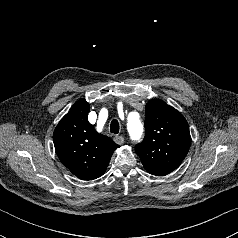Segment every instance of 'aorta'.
<instances>
[{"label":"aorta","instance_id":"1","mask_svg":"<svg viewBox=\"0 0 238 238\" xmlns=\"http://www.w3.org/2000/svg\"><path fill=\"white\" fill-rule=\"evenodd\" d=\"M127 128L133 141H139L143 134V123L135 112H131L127 117Z\"/></svg>","mask_w":238,"mask_h":238}]
</instances>
